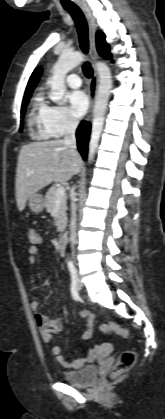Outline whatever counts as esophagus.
Listing matches in <instances>:
<instances>
[{"instance_id": "1", "label": "esophagus", "mask_w": 165, "mask_h": 419, "mask_svg": "<svg viewBox=\"0 0 165 419\" xmlns=\"http://www.w3.org/2000/svg\"><path fill=\"white\" fill-rule=\"evenodd\" d=\"M82 11L84 12L87 22H88V28H89V43H90V55L92 60V69H93V76L90 80L89 84V110L86 115V121H89L92 117V111L93 106L96 98L97 88H98V72L95 66V62L98 59V52L96 48V30H97V24L95 22V19L93 18L91 12L89 9L80 4L79 5Z\"/></svg>"}]
</instances>
